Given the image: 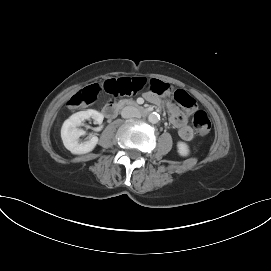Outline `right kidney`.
<instances>
[{
	"mask_svg": "<svg viewBox=\"0 0 271 271\" xmlns=\"http://www.w3.org/2000/svg\"><path fill=\"white\" fill-rule=\"evenodd\" d=\"M89 118H92L97 124H101L104 116L96 110L88 109L73 114L63 123L61 138L66 149L73 154H86L92 151L98 143L96 136L91 137L88 141L79 142V137L84 135L85 131L77 127Z\"/></svg>",
	"mask_w": 271,
	"mask_h": 271,
	"instance_id": "ca27d5eb",
	"label": "right kidney"
}]
</instances>
